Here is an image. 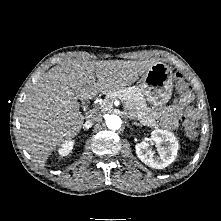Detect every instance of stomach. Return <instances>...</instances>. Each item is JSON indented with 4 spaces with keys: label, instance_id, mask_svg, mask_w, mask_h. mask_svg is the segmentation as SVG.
Segmentation results:
<instances>
[{
    "label": "stomach",
    "instance_id": "obj_1",
    "mask_svg": "<svg viewBox=\"0 0 221 221\" xmlns=\"http://www.w3.org/2000/svg\"><path fill=\"white\" fill-rule=\"evenodd\" d=\"M174 77L169 66L162 62L154 63L142 76L138 87L141 100L154 108L165 106L172 94Z\"/></svg>",
    "mask_w": 221,
    "mask_h": 221
}]
</instances>
